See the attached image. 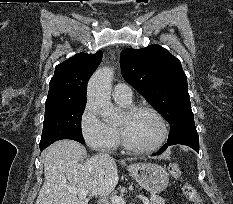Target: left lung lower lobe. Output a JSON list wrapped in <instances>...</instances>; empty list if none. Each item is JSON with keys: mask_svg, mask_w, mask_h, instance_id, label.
Returning <instances> with one entry per match:
<instances>
[{"mask_svg": "<svg viewBox=\"0 0 233 204\" xmlns=\"http://www.w3.org/2000/svg\"><path fill=\"white\" fill-rule=\"evenodd\" d=\"M174 144H183V145H187L191 148H193L194 150H196L197 152H199V137L197 133H184L181 134L180 136H178L176 139L168 142L167 144H165L158 152L157 154L154 155H159L162 152H164L166 150V148L168 147V145H174Z\"/></svg>", "mask_w": 233, "mask_h": 204, "instance_id": "0a47b994", "label": "left lung lower lobe"}]
</instances>
